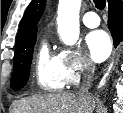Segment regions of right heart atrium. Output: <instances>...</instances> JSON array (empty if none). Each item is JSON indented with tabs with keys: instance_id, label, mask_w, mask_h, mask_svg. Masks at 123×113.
Masks as SVG:
<instances>
[{
	"instance_id": "d8ad5b80",
	"label": "right heart atrium",
	"mask_w": 123,
	"mask_h": 113,
	"mask_svg": "<svg viewBox=\"0 0 123 113\" xmlns=\"http://www.w3.org/2000/svg\"><path fill=\"white\" fill-rule=\"evenodd\" d=\"M59 56L60 71L65 85L78 83L83 74L92 70V63L79 51L62 49Z\"/></svg>"
}]
</instances>
